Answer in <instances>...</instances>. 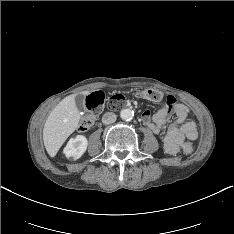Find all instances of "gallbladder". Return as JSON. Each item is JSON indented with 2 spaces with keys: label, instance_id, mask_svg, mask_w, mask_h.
<instances>
[{
  "label": "gallbladder",
  "instance_id": "1",
  "mask_svg": "<svg viewBox=\"0 0 234 234\" xmlns=\"http://www.w3.org/2000/svg\"><path fill=\"white\" fill-rule=\"evenodd\" d=\"M75 104H76V107L79 109V110H84L85 109V105H84V96L83 95H76L75 97Z\"/></svg>",
  "mask_w": 234,
  "mask_h": 234
}]
</instances>
